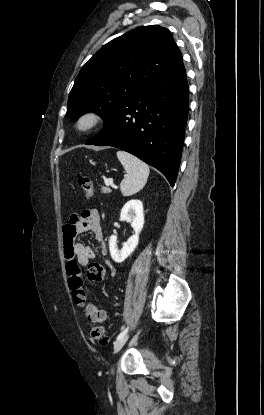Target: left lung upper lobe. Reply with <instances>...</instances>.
Returning <instances> with one entry per match:
<instances>
[{
  "instance_id": "obj_1",
  "label": "left lung upper lobe",
  "mask_w": 264,
  "mask_h": 415,
  "mask_svg": "<svg viewBox=\"0 0 264 415\" xmlns=\"http://www.w3.org/2000/svg\"><path fill=\"white\" fill-rule=\"evenodd\" d=\"M182 60L168 29L137 27L104 45L82 67L70 91L65 117L76 121L93 111L107 124L126 101Z\"/></svg>"
}]
</instances>
